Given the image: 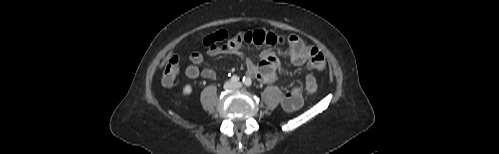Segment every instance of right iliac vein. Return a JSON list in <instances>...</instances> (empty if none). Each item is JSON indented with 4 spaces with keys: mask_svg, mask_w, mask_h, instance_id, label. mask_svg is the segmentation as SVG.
I'll return each instance as SVG.
<instances>
[{
    "mask_svg": "<svg viewBox=\"0 0 499 154\" xmlns=\"http://www.w3.org/2000/svg\"><path fill=\"white\" fill-rule=\"evenodd\" d=\"M230 87H232V84H231V83H228V84L226 85V88H230Z\"/></svg>",
    "mask_w": 499,
    "mask_h": 154,
    "instance_id": "right-iliac-vein-1",
    "label": "right iliac vein"
}]
</instances>
